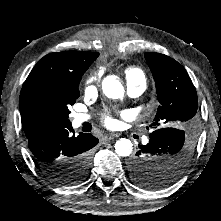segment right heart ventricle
I'll use <instances>...</instances> for the list:
<instances>
[{"instance_id":"right-heart-ventricle-1","label":"right heart ventricle","mask_w":221,"mask_h":221,"mask_svg":"<svg viewBox=\"0 0 221 221\" xmlns=\"http://www.w3.org/2000/svg\"><path fill=\"white\" fill-rule=\"evenodd\" d=\"M125 77L128 83L141 82L146 84L144 72L137 67H129L125 70Z\"/></svg>"}]
</instances>
